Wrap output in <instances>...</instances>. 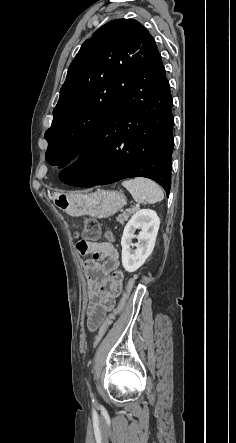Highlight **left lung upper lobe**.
I'll return each mask as SVG.
<instances>
[{"label": "left lung upper lobe", "instance_id": "5c2ea615", "mask_svg": "<svg viewBox=\"0 0 236 443\" xmlns=\"http://www.w3.org/2000/svg\"><path fill=\"white\" fill-rule=\"evenodd\" d=\"M156 44L134 19H116L95 31L71 62L53 122L45 132L46 160L65 166L119 103Z\"/></svg>", "mask_w": 236, "mask_h": 443}]
</instances>
